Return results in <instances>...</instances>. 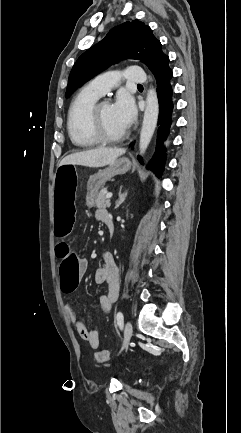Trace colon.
Wrapping results in <instances>:
<instances>
[{
  "instance_id": "1",
  "label": "colon",
  "mask_w": 241,
  "mask_h": 433,
  "mask_svg": "<svg viewBox=\"0 0 241 433\" xmlns=\"http://www.w3.org/2000/svg\"><path fill=\"white\" fill-rule=\"evenodd\" d=\"M56 171V181L52 182V189L55 194L53 198L55 210L52 218L55 221L56 234L62 238L70 235L73 218L77 214V209L74 207L77 169L75 164H59ZM57 252L60 258L58 275L64 277L61 287L64 292L69 293L74 291L77 286L80 263L76 254L69 249L65 241L59 243ZM95 358L99 363H106L110 360L111 355L108 351L101 350L95 354Z\"/></svg>"
}]
</instances>
